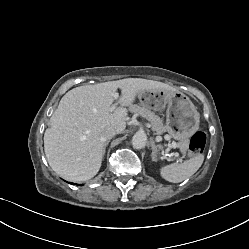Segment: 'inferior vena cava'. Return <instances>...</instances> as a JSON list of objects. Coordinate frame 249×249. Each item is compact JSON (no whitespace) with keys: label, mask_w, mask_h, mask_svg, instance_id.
<instances>
[{"label":"inferior vena cava","mask_w":249,"mask_h":249,"mask_svg":"<svg viewBox=\"0 0 249 249\" xmlns=\"http://www.w3.org/2000/svg\"><path fill=\"white\" fill-rule=\"evenodd\" d=\"M116 134H118V131L112 127L107 126L105 127L101 132V140L106 141L114 137Z\"/></svg>","instance_id":"602c4592"}]
</instances>
